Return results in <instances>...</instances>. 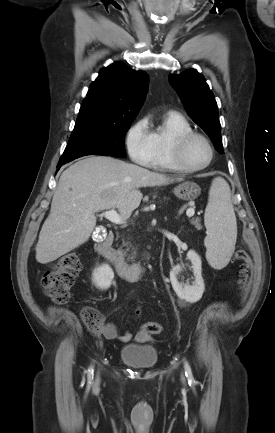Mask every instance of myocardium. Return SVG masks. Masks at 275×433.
<instances>
[{
	"label": "myocardium",
	"mask_w": 275,
	"mask_h": 433,
	"mask_svg": "<svg viewBox=\"0 0 275 433\" xmlns=\"http://www.w3.org/2000/svg\"><path fill=\"white\" fill-rule=\"evenodd\" d=\"M199 138L203 140L210 151L208 161L200 166H192L185 160V150L187 145L194 139ZM215 156V150L210 139L197 131H190L178 136L172 144V161L174 165L180 170L185 172H197L206 169L211 165Z\"/></svg>",
	"instance_id": "obj_1"
}]
</instances>
